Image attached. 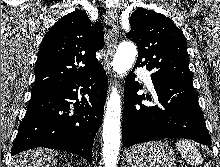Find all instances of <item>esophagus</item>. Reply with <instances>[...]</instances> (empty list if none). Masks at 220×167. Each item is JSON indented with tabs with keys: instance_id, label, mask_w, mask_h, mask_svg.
Segmentation results:
<instances>
[{
	"instance_id": "esophagus-1",
	"label": "esophagus",
	"mask_w": 220,
	"mask_h": 167,
	"mask_svg": "<svg viewBox=\"0 0 220 167\" xmlns=\"http://www.w3.org/2000/svg\"><path fill=\"white\" fill-rule=\"evenodd\" d=\"M105 19L109 23L113 30L111 32L110 41L108 44V49L104 57V65L109 74H111L110 63L115 54L117 48V42L119 37V24L117 19V12L114 8H108L105 14ZM111 82V79H110Z\"/></svg>"
}]
</instances>
